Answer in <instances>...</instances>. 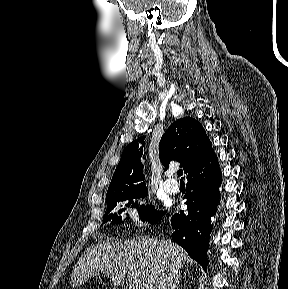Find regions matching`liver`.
Segmentation results:
<instances>
[{"label":"liver","mask_w":288,"mask_h":289,"mask_svg":"<svg viewBox=\"0 0 288 289\" xmlns=\"http://www.w3.org/2000/svg\"><path fill=\"white\" fill-rule=\"evenodd\" d=\"M170 257H174L180 268L188 260L186 252L170 239L99 243L87 248L77 261L72 286L104 274L117 286H122L126 280L129 289H159L165 263Z\"/></svg>","instance_id":"obj_1"}]
</instances>
